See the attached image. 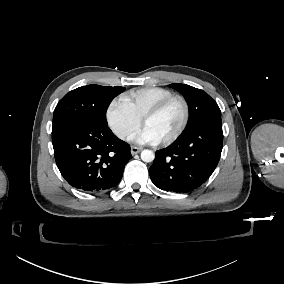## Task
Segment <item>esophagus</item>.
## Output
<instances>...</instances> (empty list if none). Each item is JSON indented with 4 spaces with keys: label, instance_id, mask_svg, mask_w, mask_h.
I'll return each mask as SVG.
<instances>
[{
    "label": "esophagus",
    "instance_id": "obj_1",
    "mask_svg": "<svg viewBox=\"0 0 284 284\" xmlns=\"http://www.w3.org/2000/svg\"><path fill=\"white\" fill-rule=\"evenodd\" d=\"M143 149L141 147H135V146H132L131 147V154L132 155H136L138 154L139 152H141Z\"/></svg>",
    "mask_w": 284,
    "mask_h": 284
}]
</instances>
